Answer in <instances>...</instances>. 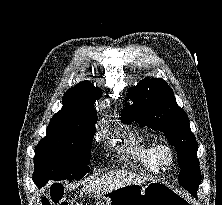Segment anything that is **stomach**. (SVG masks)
<instances>
[{
	"label": "stomach",
	"instance_id": "obj_1",
	"mask_svg": "<svg viewBox=\"0 0 222 205\" xmlns=\"http://www.w3.org/2000/svg\"><path fill=\"white\" fill-rule=\"evenodd\" d=\"M96 205H194L171 186L160 181L125 185L99 196Z\"/></svg>",
	"mask_w": 222,
	"mask_h": 205
}]
</instances>
